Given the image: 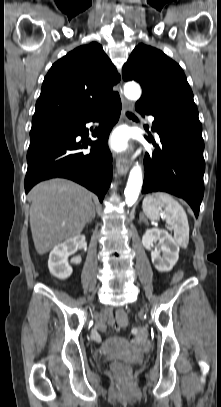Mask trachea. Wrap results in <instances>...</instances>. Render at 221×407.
Masks as SVG:
<instances>
[{"label": "trachea", "mask_w": 221, "mask_h": 407, "mask_svg": "<svg viewBox=\"0 0 221 407\" xmlns=\"http://www.w3.org/2000/svg\"><path fill=\"white\" fill-rule=\"evenodd\" d=\"M126 115L131 119L137 120V117L130 112H127Z\"/></svg>", "instance_id": "1"}]
</instances>
